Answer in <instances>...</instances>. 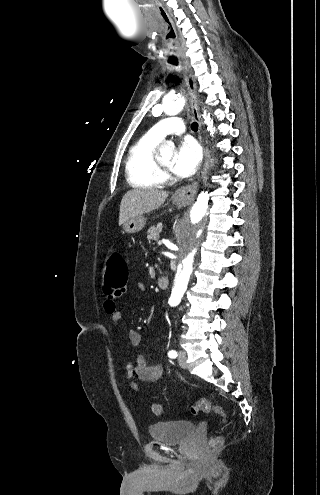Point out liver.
Listing matches in <instances>:
<instances>
[{
    "instance_id": "obj_1",
    "label": "liver",
    "mask_w": 320,
    "mask_h": 495,
    "mask_svg": "<svg viewBox=\"0 0 320 495\" xmlns=\"http://www.w3.org/2000/svg\"><path fill=\"white\" fill-rule=\"evenodd\" d=\"M168 197L166 191L155 189H133L122 198L119 213V225L144 213L158 209Z\"/></svg>"
}]
</instances>
